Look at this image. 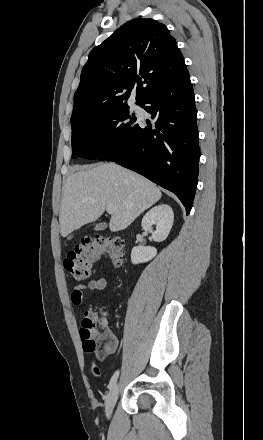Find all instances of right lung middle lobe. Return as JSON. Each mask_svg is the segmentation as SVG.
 Masks as SVG:
<instances>
[{
    "mask_svg": "<svg viewBox=\"0 0 263 440\" xmlns=\"http://www.w3.org/2000/svg\"><path fill=\"white\" fill-rule=\"evenodd\" d=\"M136 125V117L129 113L127 104L84 114L71 122L72 157L98 159Z\"/></svg>",
    "mask_w": 263,
    "mask_h": 440,
    "instance_id": "right-lung-middle-lobe-1",
    "label": "right lung middle lobe"
}]
</instances>
